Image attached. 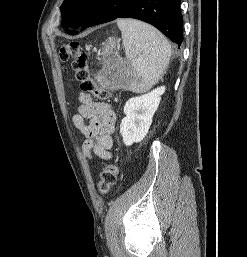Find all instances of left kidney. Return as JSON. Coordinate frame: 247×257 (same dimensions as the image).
<instances>
[{
    "label": "left kidney",
    "mask_w": 247,
    "mask_h": 257,
    "mask_svg": "<svg viewBox=\"0 0 247 257\" xmlns=\"http://www.w3.org/2000/svg\"><path fill=\"white\" fill-rule=\"evenodd\" d=\"M164 92L165 86L157 87L147 94L132 97L126 102L124 106L126 116L120 124V133L126 146L145 138Z\"/></svg>",
    "instance_id": "1"
}]
</instances>
